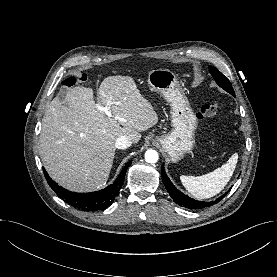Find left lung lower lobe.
I'll list each match as a JSON object with an SVG mask.
<instances>
[{"label": "left lung lower lobe", "mask_w": 277, "mask_h": 277, "mask_svg": "<svg viewBox=\"0 0 277 277\" xmlns=\"http://www.w3.org/2000/svg\"><path fill=\"white\" fill-rule=\"evenodd\" d=\"M161 175L163 183L165 184V187L170 194L173 201L178 204L179 206L188 208V209H204L207 207H210L216 203H218L225 195L219 197L218 199L211 201V202H201L196 201L186 195H184L182 192H180L169 180L167 177L165 171H164V164L161 166Z\"/></svg>", "instance_id": "1"}]
</instances>
